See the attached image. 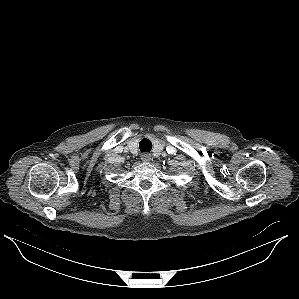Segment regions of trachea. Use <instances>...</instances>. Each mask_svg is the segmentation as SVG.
I'll return each mask as SVG.
<instances>
[{
  "label": "trachea",
  "mask_w": 299,
  "mask_h": 299,
  "mask_svg": "<svg viewBox=\"0 0 299 299\" xmlns=\"http://www.w3.org/2000/svg\"><path fill=\"white\" fill-rule=\"evenodd\" d=\"M141 152H149L152 149V143L149 139L144 138L139 143Z\"/></svg>",
  "instance_id": "1"
}]
</instances>
